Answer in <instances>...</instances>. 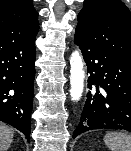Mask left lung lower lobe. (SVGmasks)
<instances>
[{
    "instance_id": "obj_1",
    "label": "left lung lower lobe",
    "mask_w": 131,
    "mask_h": 151,
    "mask_svg": "<svg viewBox=\"0 0 131 151\" xmlns=\"http://www.w3.org/2000/svg\"><path fill=\"white\" fill-rule=\"evenodd\" d=\"M88 79L87 99L73 138L91 130L122 129L131 132V61L95 47L75 34Z\"/></svg>"
}]
</instances>
